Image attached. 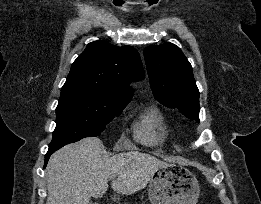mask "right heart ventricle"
<instances>
[{"label": "right heart ventricle", "mask_w": 261, "mask_h": 204, "mask_svg": "<svg viewBox=\"0 0 261 204\" xmlns=\"http://www.w3.org/2000/svg\"><path fill=\"white\" fill-rule=\"evenodd\" d=\"M134 138L145 145L158 143L163 136V122L158 109L154 106L146 107L134 122Z\"/></svg>", "instance_id": "e07e8e85"}]
</instances>
